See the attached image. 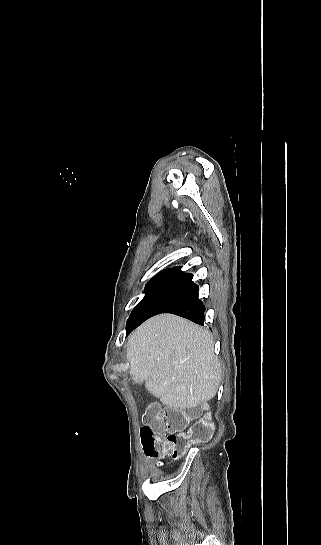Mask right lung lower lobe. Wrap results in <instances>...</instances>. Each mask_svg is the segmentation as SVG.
Segmentation results:
<instances>
[{
	"mask_svg": "<svg viewBox=\"0 0 321 545\" xmlns=\"http://www.w3.org/2000/svg\"><path fill=\"white\" fill-rule=\"evenodd\" d=\"M192 274L176 270L160 287L148 305L134 320L127 322V334L148 318L172 313L203 325L205 306L198 298V286Z\"/></svg>",
	"mask_w": 321,
	"mask_h": 545,
	"instance_id": "98d812e1",
	"label": "right lung lower lobe"
}]
</instances>
